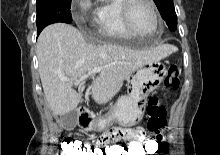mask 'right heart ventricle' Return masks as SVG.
<instances>
[{
	"instance_id": "right-heart-ventricle-1",
	"label": "right heart ventricle",
	"mask_w": 220,
	"mask_h": 155,
	"mask_svg": "<svg viewBox=\"0 0 220 155\" xmlns=\"http://www.w3.org/2000/svg\"><path fill=\"white\" fill-rule=\"evenodd\" d=\"M123 0H101L95 9L97 35L105 40L132 38L134 35L125 27L121 5Z\"/></svg>"
}]
</instances>
